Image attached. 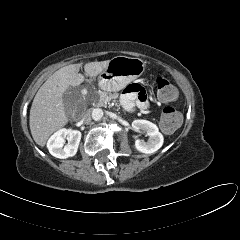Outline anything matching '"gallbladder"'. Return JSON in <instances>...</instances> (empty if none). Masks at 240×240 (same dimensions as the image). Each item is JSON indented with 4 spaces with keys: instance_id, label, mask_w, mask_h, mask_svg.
Returning <instances> with one entry per match:
<instances>
[{
    "instance_id": "gallbladder-1",
    "label": "gallbladder",
    "mask_w": 240,
    "mask_h": 240,
    "mask_svg": "<svg viewBox=\"0 0 240 240\" xmlns=\"http://www.w3.org/2000/svg\"><path fill=\"white\" fill-rule=\"evenodd\" d=\"M74 91H75L74 88L69 87L68 90L64 93L63 100H64V103H65L66 107H70L72 105V99L74 97L72 92H74Z\"/></svg>"
}]
</instances>
